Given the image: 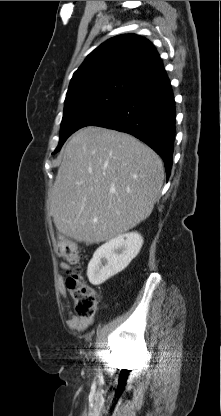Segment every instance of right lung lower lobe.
Returning a JSON list of instances; mask_svg holds the SVG:
<instances>
[{
  "mask_svg": "<svg viewBox=\"0 0 221 416\" xmlns=\"http://www.w3.org/2000/svg\"><path fill=\"white\" fill-rule=\"evenodd\" d=\"M94 126L129 133L144 141L163 159L168 179L175 138V101L167 77L129 93Z\"/></svg>",
  "mask_w": 221,
  "mask_h": 416,
  "instance_id": "98d812e1",
  "label": "right lung lower lobe"
}]
</instances>
